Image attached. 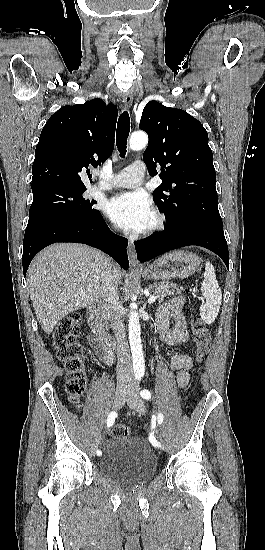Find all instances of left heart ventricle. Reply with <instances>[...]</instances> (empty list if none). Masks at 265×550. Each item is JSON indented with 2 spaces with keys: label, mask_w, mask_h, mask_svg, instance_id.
I'll list each match as a JSON object with an SVG mask.
<instances>
[{
  "label": "left heart ventricle",
  "mask_w": 265,
  "mask_h": 550,
  "mask_svg": "<svg viewBox=\"0 0 265 550\" xmlns=\"http://www.w3.org/2000/svg\"><path fill=\"white\" fill-rule=\"evenodd\" d=\"M152 221H153V218L151 217V219H150V221H149L147 227H149V226L151 225Z\"/></svg>",
  "instance_id": "b2bd125f"
}]
</instances>
